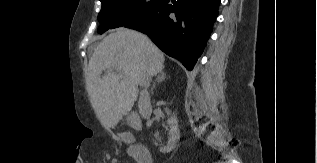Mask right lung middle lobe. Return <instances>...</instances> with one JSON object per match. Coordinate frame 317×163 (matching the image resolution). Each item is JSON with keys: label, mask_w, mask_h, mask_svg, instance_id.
<instances>
[{"label": "right lung middle lobe", "mask_w": 317, "mask_h": 163, "mask_svg": "<svg viewBox=\"0 0 317 163\" xmlns=\"http://www.w3.org/2000/svg\"><path fill=\"white\" fill-rule=\"evenodd\" d=\"M98 33L125 26L157 9L165 0H100Z\"/></svg>", "instance_id": "1"}]
</instances>
